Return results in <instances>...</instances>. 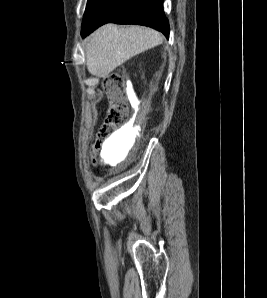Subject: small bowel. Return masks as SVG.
I'll return each mask as SVG.
<instances>
[{
  "label": "small bowel",
  "mask_w": 267,
  "mask_h": 298,
  "mask_svg": "<svg viewBox=\"0 0 267 298\" xmlns=\"http://www.w3.org/2000/svg\"><path fill=\"white\" fill-rule=\"evenodd\" d=\"M116 139H117L116 136H113V135H112V136H110V138H109L108 141H109L110 143H114V142L116 141Z\"/></svg>",
  "instance_id": "small-bowel-1"
}]
</instances>
